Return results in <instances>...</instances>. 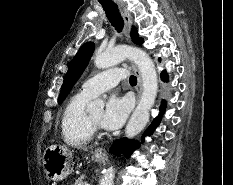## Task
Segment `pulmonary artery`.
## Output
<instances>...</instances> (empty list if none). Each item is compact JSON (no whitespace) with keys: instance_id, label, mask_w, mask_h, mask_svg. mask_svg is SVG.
Instances as JSON below:
<instances>
[{"instance_id":"e3ab8cb5","label":"pulmonary artery","mask_w":233,"mask_h":185,"mask_svg":"<svg viewBox=\"0 0 233 185\" xmlns=\"http://www.w3.org/2000/svg\"><path fill=\"white\" fill-rule=\"evenodd\" d=\"M126 77V70L123 68H110L86 80L80 93L88 97H95L98 94L115 87Z\"/></svg>"}]
</instances>
